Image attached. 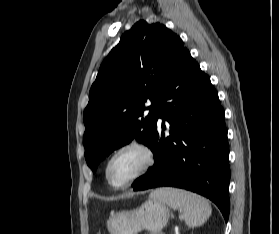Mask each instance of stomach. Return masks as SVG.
I'll return each mask as SVG.
<instances>
[{"label": "stomach", "mask_w": 279, "mask_h": 234, "mask_svg": "<svg viewBox=\"0 0 279 234\" xmlns=\"http://www.w3.org/2000/svg\"><path fill=\"white\" fill-rule=\"evenodd\" d=\"M169 216L165 203L149 199L137 209L112 213L107 228L110 234H137L141 230L158 234L168 222Z\"/></svg>", "instance_id": "0dacf381"}]
</instances>
